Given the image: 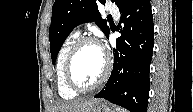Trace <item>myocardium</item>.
I'll use <instances>...</instances> for the list:
<instances>
[{
    "label": "myocardium",
    "instance_id": "f54148a6",
    "mask_svg": "<svg viewBox=\"0 0 193 112\" xmlns=\"http://www.w3.org/2000/svg\"><path fill=\"white\" fill-rule=\"evenodd\" d=\"M88 43H94L96 45H98L104 54V69L100 75V77L98 78V80L90 85V86H81L79 85L74 77H73V73H72V65H73V61L74 58L76 56V54L78 53V51L86 44ZM111 70V57L109 55V53L106 51V49L104 48V46L102 45V43L95 37L92 36H85V37H81L79 38L71 47L66 61H65V66H64V73H65V79L66 82L68 84V86L70 87L71 90H73L76 93H87L90 91H93L95 89H97L98 87H100L108 78L109 73Z\"/></svg>",
    "mask_w": 193,
    "mask_h": 112
}]
</instances>
